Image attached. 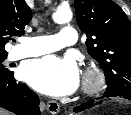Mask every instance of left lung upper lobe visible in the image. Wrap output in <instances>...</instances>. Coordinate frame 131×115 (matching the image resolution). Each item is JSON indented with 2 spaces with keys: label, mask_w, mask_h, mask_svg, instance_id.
<instances>
[{
  "label": "left lung upper lobe",
  "mask_w": 131,
  "mask_h": 115,
  "mask_svg": "<svg viewBox=\"0 0 131 115\" xmlns=\"http://www.w3.org/2000/svg\"><path fill=\"white\" fill-rule=\"evenodd\" d=\"M88 53L103 68L107 95H131V21L112 0H75Z\"/></svg>",
  "instance_id": "5c2ea615"
}]
</instances>
